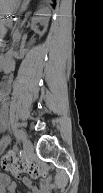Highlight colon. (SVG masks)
Wrapping results in <instances>:
<instances>
[{
  "instance_id": "1",
  "label": "colon",
  "mask_w": 103,
  "mask_h": 193,
  "mask_svg": "<svg viewBox=\"0 0 103 193\" xmlns=\"http://www.w3.org/2000/svg\"><path fill=\"white\" fill-rule=\"evenodd\" d=\"M1 165L4 170L18 174L27 172L34 179L43 178L46 174L45 170L32 162H25L19 158L15 152H10L2 157Z\"/></svg>"
}]
</instances>
